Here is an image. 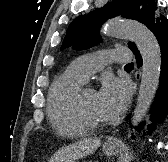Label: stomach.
<instances>
[{"label": "stomach", "instance_id": "stomach-1", "mask_svg": "<svg viewBox=\"0 0 168 162\" xmlns=\"http://www.w3.org/2000/svg\"><path fill=\"white\" fill-rule=\"evenodd\" d=\"M117 151H118V148L116 145H113V146L104 145L103 146V152L105 155L112 156V155H115Z\"/></svg>", "mask_w": 168, "mask_h": 162}]
</instances>
